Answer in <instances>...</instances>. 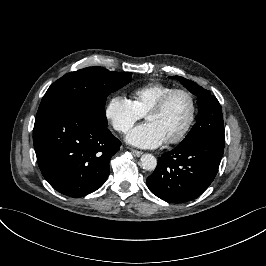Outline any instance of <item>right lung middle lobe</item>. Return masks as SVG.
<instances>
[{"label": "right lung middle lobe", "mask_w": 266, "mask_h": 266, "mask_svg": "<svg viewBox=\"0 0 266 266\" xmlns=\"http://www.w3.org/2000/svg\"><path fill=\"white\" fill-rule=\"evenodd\" d=\"M132 73L88 67L70 72L55 81L45 93L37 116L56 107H72L87 113L91 119L107 127V96L131 81Z\"/></svg>", "instance_id": "dd1d6c3e"}]
</instances>
